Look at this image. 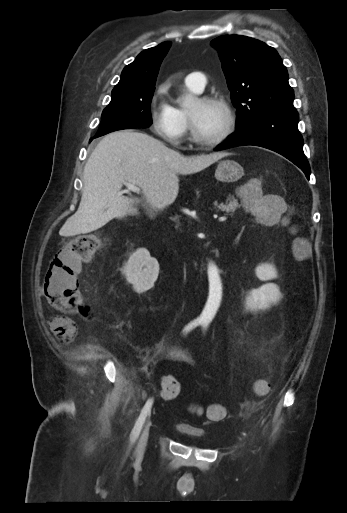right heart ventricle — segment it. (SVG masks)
<instances>
[{"label":"right heart ventricle","mask_w":347,"mask_h":513,"mask_svg":"<svg viewBox=\"0 0 347 513\" xmlns=\"http://www.w3.org/2000/svg\"><path fill=\"white\" fill-rule=\"evenodd\" d=\"M188 86V85H187ZM188 88L192 91H194L190 86H188ZM182 117L186 118L187 119V115H186V111L183 110L182 108L180 107H173Z\"/></svg>","instance_id":"1"}]
</instances>
